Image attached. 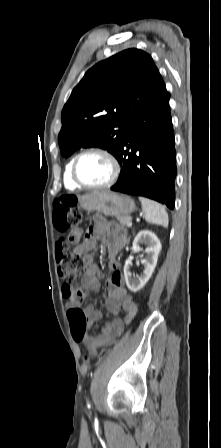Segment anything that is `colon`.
<instances>
[{
  "label": "colon",
  "mask_w": 221,
  "mask_h": 448,
  "mask_svg": "<svg viewBox=\"0 0 221 448\" xmlns=\"http://www.w3.org/2000/svg\"><path fill=\"white\" fill-rule=\"evenodd\" d=\"M78 198L75 195L66 194L55 200L53 209L54 228L59 233H65L71 226H77L82 220V214L78 207ZM77 240V234H72L70 243ZM58 272L64 280L63 295L69 302L68 312L72 337L81 341L86 336V318L80 306L86 297V290L76 285L77 279L86 270L85 257L77 252L69 250L67 242H60L56 249Z\"/></svg>",
  "instance_id": "obj_1"
}]
</instances>
